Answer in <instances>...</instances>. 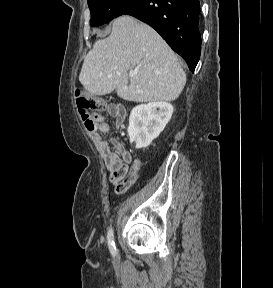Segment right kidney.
Wrapping results in <instances>:
<instances>
[{
    "label": "right kidney",
    "instance_id": "1",
    "mask_svg": "<svg viewBox=\"0 0 273 288\" xmlns=\"http://www.w3.org/2000/svg\"><path fill=\"white\" fill-rule=\"evenodd\" d=\"M173 114L167 102H151L134 107L129 117L128 135L137 149L148 147L164 130Z\"/></svg>",
    "mask_w": 273,
    "mask_h": 288
}]
</instances>
